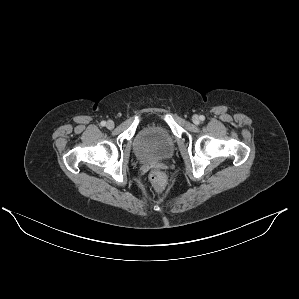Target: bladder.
<instances>
[{
    "label": "bladder",
    "mask_w": 299,
    "mask_h": 299,
    "mask_svg": "<svg viewBox=\"0 0 299 299\" xmlns=\"http://www.w3.org/2000/svg\"><path fill=\"white\" fill-rule=\"evenodd\" d=\"M175 140L162 124L151 122L143 125L134 138V149L143 161H164L175 153Z\"/></svg>",
    "instance_id": "31cf9c89"
}]
</instances>
